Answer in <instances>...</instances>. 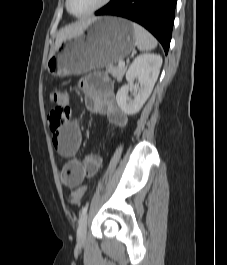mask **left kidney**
<instances>
[{
    "mask_svg": "<svg viewBox=\"0 0 227 265\" xmlns=\"http://www.w3.org/2000/svg\"><path fill=\"white\" fill-rule=\"evenodd\" d=\"M161 65L162 57L157 54H142L134 59L126 72V79L128 83L138 79V93L134 99L129 98V86L124 85L116 94L117 104L125 114L133 115L140 111L153 90Z\"/></svg>",
    "mask_w": 227,
    "mask_h": 265,
    "instance_id": "5707ae66",
    "label": "left kidney"
}]
</instances>
